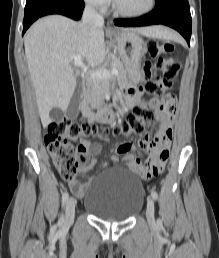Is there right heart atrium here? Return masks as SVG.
I'll return each instance as SVG.
<instances>
[{
    "instance_id": "right-heart-atrium-1",
    "label": "right heart atrium",
    "mask_w": 219,
    "mask_h": 258,
    "mask_svg": "<svg viewBox=\"0 0 219 258\" xmlns=\"http://www.w3.org/2000/svg\"><path fill=\"white\" fill-rule=\"evenodd\" d=\"M84 2L94 9L105 10L110 5L111 0H84Z\"/></svg>"
}]
</instances>
